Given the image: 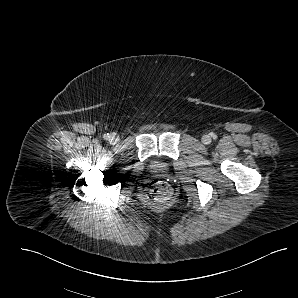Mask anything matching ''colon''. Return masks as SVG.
Listing matches in <instances>:
<instances>
[{
	"label": "colon",
	"mask_w": 298,
	"mask_h": 298,
	"mask_svg": "<svg viewBox=\"0 0 298 298\" xmlns=\"http://www.w3.org/2000/svg\"><path fill=\"white\" fill-rule=\"evenodd\" d=\"M171 195L172 191L169 184L161 180L151 182L145 192V198L149 202L159 204L168 202Z\"/></svg>",
	"instance_id": "1"
}]
</instances>
